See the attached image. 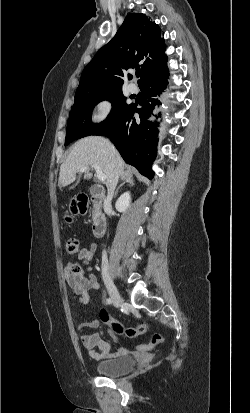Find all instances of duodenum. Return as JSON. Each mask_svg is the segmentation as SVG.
<instances>
[{
    "instance_id": "1",
    "label": "duodenum",
    "mask_w": 250,
    "mask_h": 413,
    "mask_svg": "<svg viewBox=\"0 0 250 413\" xmlns=\"http://www.w3.org/2000/svg\"><path fill=\"white\" fill-rule=\"evenodd\" d=\"M89 195L96 205V212L93 218L92 232L95 237H101L107 227L104 214L100 210L104 195L100 191L90 190Z\"/></svg>"
}]
</instances>
